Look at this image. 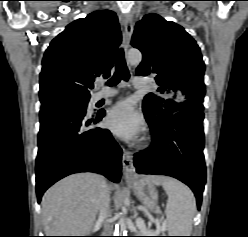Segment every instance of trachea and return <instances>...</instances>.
<instances>
[{
  "label": "trachea",
  "mask_w": 248,
  "mask_h": 237,
  "mask_svg": "<svg viewBox=\"0 0 248 237\" xmlns=\"http://www.w3.org/2000/svg\"><path fill=\"white\" fill-rule=\"evenodd\" d=\"M129 78H130V74L125 62L124 51L123 49H120L116 57V71L113 77L110 80H108L107 85L115 86L121 80L128 81Z\"/></svg>",
  "instance_id": "trachea-1"
}]
</instances>
